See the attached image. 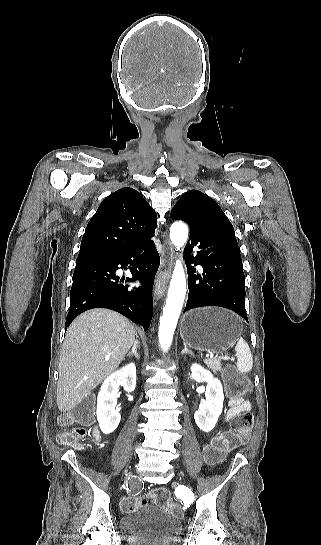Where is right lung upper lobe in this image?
Here are the masks:
<instances>
[{
  "label": "right lung upper lobe",
  "instance_id": "1",
  "mask_svg": "<svg viewBox=\"0 0 321 545\" xmlns=\"http://www.w3.org/2000/svg\"><path fill=\"white\" fill-rule=\"evenodd\" d=\"M157 215L143 196L122 188L102 201L89 221L76 263L116 256L152 237Z\"/></svg>",
  "mask_w": 321,
  "mask_h": 545
}]
</instances>
